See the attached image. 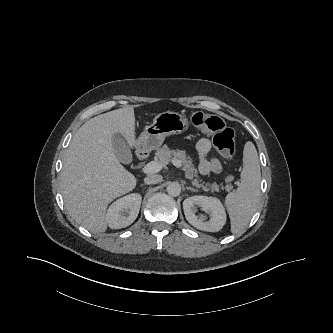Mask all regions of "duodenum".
I'll return each mask as SVG.
<instances>
[{
  "instance_id": "1",
  "label": "duodenum",
  "mask_w": 333,
  "mask_h": 333,
  "mask_svg": "<svg viewBox=\"0 0 333 333\" xmlns=\"http://www.w3.org/2000/svg\"><path fill=\"white\" fill-rule=\"evenodd\" d=\"M144 157V153L143 152H138L137 153V158L138 159H142Z\"/></svg>"
}]
</instances>
